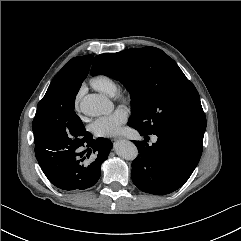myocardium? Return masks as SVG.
Instances as JSON below:
<instances>
[{
	"label": "myocardium",
	"instance_id": "myocardium-1",
	"mask_svg": "<svg viewBox=\"0 0 241 241\" xmlns=\"http://www.w3.org/2000/svg\"><path fill=\"white\" fill-rule=\"evenodd\" d=\"M117 98H118V100H120L122 102L128 101V96L126 94H124V93H119L117 95Z\"/></svg>",
	"mask_w": 241,
	"mask_h": 241
}]
</instances>
